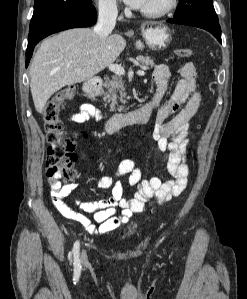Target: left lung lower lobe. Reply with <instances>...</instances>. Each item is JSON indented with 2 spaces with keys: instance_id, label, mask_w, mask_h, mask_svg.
<instances>
[{
  "instance_id": "obj_1",
  "label": "left lung lower lobe",
  "mask_w": 247,
  "mask_h": 299,
  "mask_svg": "<svg viewBox=\"0 0 247 299\" xmlns=\"http://www.w3.org/2000/svg\"><path fill=\"white\" fill-rule=\"evenodd\" d=\"M169 23H176L181 25H190L198 28L205 29L212 33L220 43L221 40V28L219 25V21L213 18H210L206 15L199 13L187 14L178 18L168 19Z\"/></svg>"
}]
</instances>
